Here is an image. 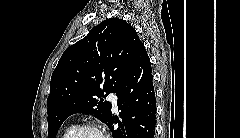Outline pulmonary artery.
<instances>
[{
	"label": "pulmonary artery",
	"mask_w": 240,
	"mask_h": 138,
	"mask_svg": "<svg viewBox=\"0 0 240 138\" xmlns=\"http://www.w3.org/2000/svg\"><path fill=\"white\" fill-rule=\"evenodd\" d=\"M108 100L111 102L112 108L116 111L117 108H118V105H117V96H116V94H115V93L109 94Z\"/></svg>",
	"instance_id": "1"
}]
</instances>
